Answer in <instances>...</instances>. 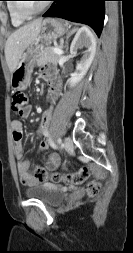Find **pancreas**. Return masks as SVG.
Wrapping results in <instances>:
<instances>
[{
  "instance_id": "obj_1",
  "label": "pancreas",
  "mask_w": 133,
  "mask_h": 253,
  "mask_svg": "<svg viewBox=\"0 0 133 253\" xmlns=\"http://www.w3.org/2000/svg\"><path fill=\"white\" fill-rule=\"evenodd\" d=\"M53 49L52 47L39 48L37 50L36 64L38 66L46 63L57 64L61 56L56 54Z\"/></svg>"
}]
</instances>
